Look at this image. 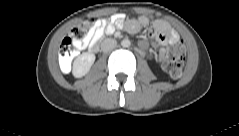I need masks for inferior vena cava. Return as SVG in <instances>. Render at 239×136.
<instances>
[{
    "instance_id": "602c4592",
    "label": "inferior vena cava",
    "mask_w": 239,
    "mask_h": 136,
    "mask_svg": "<svg viewBox=\"0 0 239 136\" xmlns=\"http://www.w3.org/2000/svg\"><path fill=\"white\" fill-rule=\"evenodd\" d=\"M117 46L116 40L112 38H106L101 42V50L103 52H109Z\"/></svg>"
}]
</instances>
